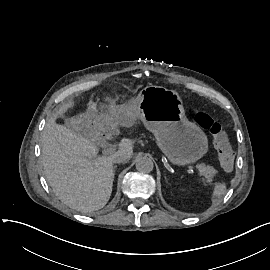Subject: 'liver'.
I'll return each mask as SVG.
<instances>
[{
    "mask_svg": "<svg viewBox=\"0 0 270 270\" xmlns=\"http://www.w3.org/2000/svg\"><path fill=\"white\" fill-rule=\"evenodd\" d=\"M134 106V100L130 103ZM74 102L63 104L59 113H65ZM140 112L130 108L122 120L113 122L111 130L131 128ZM118 152L130 159L134 154L133 144L128 140L118 143ZM91 139L75 134L51 117L43 131L42 165L48 183L55 195L66 205L91 212L103 208L112 193L114 169L111 156H98Z\"/></svg>",
    "mask_w": 270,
    "mask_h": 270,
    "instance_id": "1",
    "label": "liver"
}]
</instances>
